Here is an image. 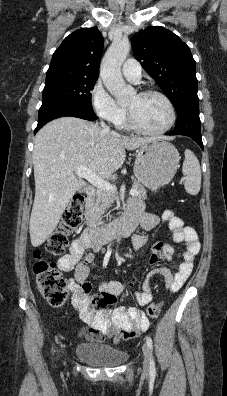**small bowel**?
I'll return each instance as SVG.
<instances>
[{
    "mask_svg": "<svg viewBox=\"0 0 227 396\" xmlns=\"http://www.w3.org/2000/svg\"><path fill=\"white\" fill-rule=\"evenodd\" d=\"M128 215L134 217L137 224L145 231H151L161 222L167 223L172 232L173 241L183 243L185 251L184 260L176 271L169 268L153 270L146 276L142 290L135 293L139 306L150 304L153 299L152 285L156 278H161L167 289L177 292L190 276L195 257L200 251V243L195 229L186 226L181 218L173 211L165 210L160 217L144 212L143 203L140 200H132L128 206ZM148 242V238L141 234L132 237L134 250L142 249ZM91 247L85 234L76 238L70 247V252L58 260V267L64 272H74V277L69 281L72 291V305L79 312L85 327L80 335L90 341L102 343L112 339L118 343L121 339L129 340L147 330L149 319L146 313L138 307H117L106 309L105 306L116 302L128 287L127 284L118 281H107L103 278L98 280L100 295L92 299L90 293L92 285L87 281L91 267L96 266L93 253H86V248ZM93 248V247H92ZM98 250L99 248H94ZM175 256L173 247L168 243L157 242L153 246L152 255L148 265L155 266L163 260L171 261ZM99 308V309H98Z\"/></svg>",
    "mask_w": 227,
    "mask_h": 396,
    "instance_id": "obj_1",
    "label": "small bowel"
}]
</instances>
